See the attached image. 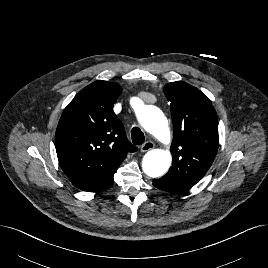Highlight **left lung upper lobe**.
I'll return each instance as SVG.
<instances>
[{"mask_svg": "<svg viewBox=\"0 0 268 268\" xmlns=\"http://www.w3.org/2000/svg\"><path fill=\"white\" fill-rule=\"evenodd\" d=\"M163 91L171 103L173 162L153 185L181 193L192 188L212 165L218 149V119L209 98L188 83L172 82Z\"/></svg>", "mask_w": 268, "mask_h": 268, "instance_id": "5c2ea615", "label": "left lung upper lobe"}]
</instances>
